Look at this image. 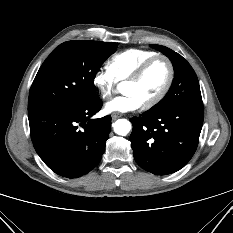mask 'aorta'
I'll list each match as a JSON object with an SVG mask.
<instances>
[{
	"label": "aorta",
	"mask_w": 233,
	"mask_h": 233,
	"mask_svg": "<svg viewBox=\"0 0 233 233\" xmlns=\"http://www.w3.org/2000/svg\"><path fill=\"white\" fill-rule=\"evenodd\" d=\"M113 128L116 134L126 136L131 130V123L127 119H118Z\"/></svg>",
	"instance_id": "obj_1"
}]
</instances>
